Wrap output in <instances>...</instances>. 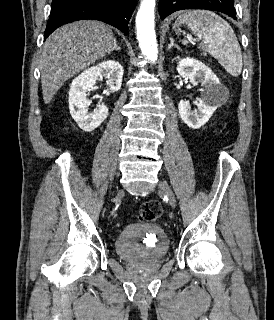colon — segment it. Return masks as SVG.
<instances>
[{"mask_svg": "<svg viewBox=\"0 0 274 320\" xmlns=\"http://www.w3.org/2000/svg\"><path fill=\"white\" fill-rule=\"evenodd\" d=\"M161 211L159 203L153 200H148L143 203L137 215L142 222L150 223L161 215Z\"/></svg>", "mask_w": 274, "mask_h": 320, "instance_id": "5ec220e1", "label": "colon"}]
</instances>
